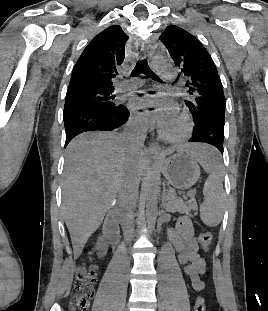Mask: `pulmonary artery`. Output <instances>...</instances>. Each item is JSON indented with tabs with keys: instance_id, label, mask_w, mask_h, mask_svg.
Segmentation results:
<instances>
[{
	"instance_id": "1",
	"label": "pulmonary artery",
	"mask_w": 268,
	"mask_h": 311,
	"mask_svg": "<svg viewBox=\"0 0 268 311\" xmlns=\"http://www.w3.org/2000/svg\"><path fill=\"white\" fill-rule=\"evenodd\" d=\"M176 73L173 69H167V70H164L162 72V77L163 79L165 80H171L175 77ZM135 86V84H128V83H120L118 86H117V90L118 91H124V90H127L131 87Z\"/></svg>"
}]
</instances>
